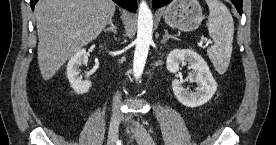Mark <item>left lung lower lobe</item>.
Wrapping results in <instances>:
<instances>
[{
  "label": "left lung lower lobe",
  "instance_id": "obj_1",
  "mask_svg": "<svg viewBox=\"0 0 276 145\" xmlns=\"http://www.w3.org/2000/svg\"><path fill=\"white\" fill-rule=\"evenodd\" d=\"M172 0H153V6L154 7H161L164 6L166 4H168L169 2H171ZM232 3L235 5L237 11L242 14V3L243 0H231Z\"/></svg>",
  "mask_w": 276,
  "mask_h": 145
}]
</instances>
